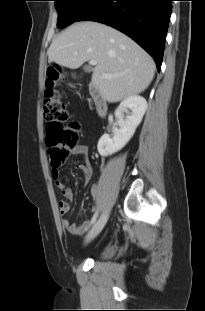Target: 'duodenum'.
I'll return each mask as SVG.
<instances>
[{
  "instance_id": "duodenum-1",
  "label": "duodenum",
  "mask_w": 205,
  "mask_h": 311,
  "mask_svg": "<svg viewBox=\"0 0 205 311\" xmlns=\"http://www.w3.org/2000/svg\"><path fill=\"white\" fill-rule=\"evenodd\" d=\"M90 96H91V99L94 103L95 111H96L97 115L99 117L105 116L107 114L108 108H109L108 102L103 97L100 89L97 86L92 85L90 87Z\"/></svg>"
}]
</instances>
